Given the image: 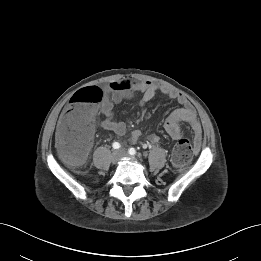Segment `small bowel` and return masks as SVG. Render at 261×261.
Wrapping results in <instances>:
<instances>
[{
	"label": "small bowel",
	"mask_w": 261,
	"mask_h": 261,
	"mask_svg": "<svg viewBox=\"0 0 261 261\" xmlns=\"http://www.w3.org/2000/svg\"><path fill=\"white\" fill-rule=\"evenodd\" d=\"M157 91H160L170 99L178 101L182 105V107L175 109L166 117L164 127L167 133L175 139L180 138L183 134L181 123L186 122L190 125L192 130L195 145L199 147L202 139V127L192 106L185 96L173 88L167 86H157L148 81H120L112 83L108 96L100 108V112L103 115V120L101 122L102 126L117 135H123L126 131V126L123 122H120L115 118L113 110L114 103L129 98L133 94L140 93L141 97L139 99V105L143 106L155 96ZM69 109V106L64 109L62 117ZM98 125L99 121L94 113L89 121V136L95 132ZM140 137L141 132L139 130L132 131L130 136L131 141L133 142L138 141ZM148 139L151 142L156 143L159 141V136L156 134H150ZM58 141H60L59 134Z\"/></svg>",
	"instance_id": "1"
}]
</instances>
